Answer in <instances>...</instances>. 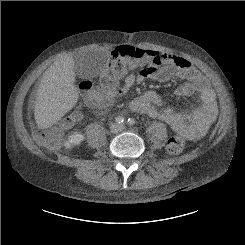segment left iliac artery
I'll return each mask as SVG.
<instances>
[{
  "instance_id": "44dca946",
  "label": "left iliac artery",
  "mask_w": 245,
  "mask_h": 245,
  "mask_svg": "<svg viewBox=\"0 0 245 245\" xmlns=\"http://www.w3.org/2000/svg\"><path fill=\"white\" fill-rule=\"evenodd\" d=\"M135 119L134 118H129L128 120H127V123L130 125V126H133L134 124H135Z\"/></svg>"
}]
</instances>
